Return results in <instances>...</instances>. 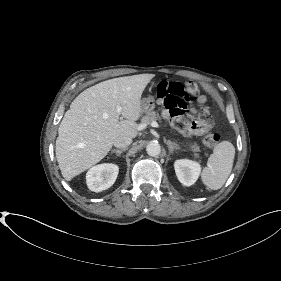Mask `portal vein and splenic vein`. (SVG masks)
Listing matches in <instances>:
<instances>
[{"instance_id":"18ae733b","label":"portal vein and splenic vein","mask_w":281,"mask_h":281,"mask_svg":"<svg viewBox=\"0 0 281 281\" xmlns=\"http://www.w3.org/2000/svg\"><path fill=\"white\" fill-rule=\"evenodd\" d=\"M121 111H122V108H121L120 106H117V114H118V115H120ZM150 125H151L152 127H155V128H158V127H159V125H158V123H157L156 121H152V122L150 123ZM146 126H147V123H142V124H140V125L138 126V130H143V129L146 128Z\"/></svg>"}]
</instances>
